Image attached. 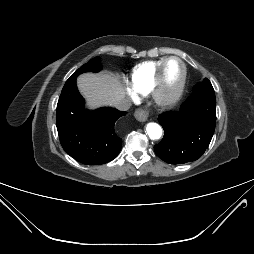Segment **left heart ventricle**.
Here are the masks:
<instances>
[{"mask_svg":"<svg viewBox=\"0 0 254 254\" xmlns=\"http://www.w3.org/2000/svg\"><path fill=\"white\" fill-rule=\"evenodd\" d=\"M182 68L179 62L170 61L164 72V87L166 91L173 90L181 77Z\"/></svg>","mask_w":254,"mask_h":254,"instance_id":"left-heart-ventricle-1","label":"left heart ventricle"}]
</instances>
